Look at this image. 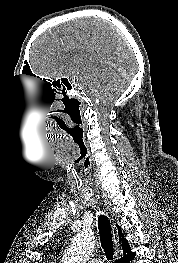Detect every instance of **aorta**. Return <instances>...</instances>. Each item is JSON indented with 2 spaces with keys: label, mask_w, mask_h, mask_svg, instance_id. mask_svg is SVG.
Masks as SVG:
<instances>
[{
  "label": "aorta",
  "mask_w": 178,
  "mask_h": 263,
  "mask_svg": "<svg viewBox=\"0 0 178 263\" xmlns=\"http://www.w3.org/2000/svg\"><path fill=\"white\" fill-rule=\"evenodd\" d=\"M92 232L83 230L72 239L62 263H86L95 246Z\"/></svg>",
  "instance_id": "1"
}]
</instances>
